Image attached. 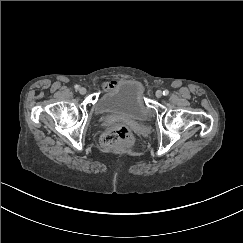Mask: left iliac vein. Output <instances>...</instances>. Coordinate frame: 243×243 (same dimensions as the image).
Masks as SVG:
<instances>
[{
    "label": "left iliac vein",
    "mask_w": 243,
    "mask_h": 243,
    "mask_svg": "<svg viewBox=\"0 0 243 243\" xmlns=\"http://www.w3.org/2000/svg\"><path fill=\"white\" fill-rule=\"evenodd\" d=\"M155 95L157 98H160V97H162L163 92L161 90H158V91H156Z\"/></svg>",
    "instance_id": "1"
}]
</instances>
